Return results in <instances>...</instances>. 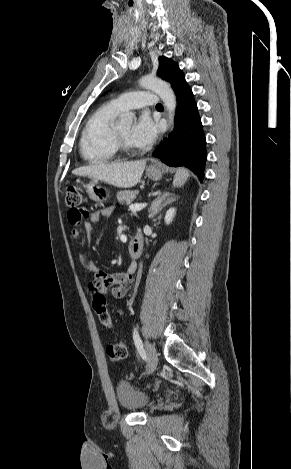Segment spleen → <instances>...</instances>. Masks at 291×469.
Instances as JSON below:
<instances>
[{
  "instance_id": "3e777b00",
  "label": "spleen",
  "mask_w": 291,
  "mask_h": 469,
  "mask_svg": "<svg viewBox=\"0 0 291 469\" xmlns=\"http://www.w3.org/2000/svg\"><path fill=\"white\" fill-rule=\"evenodd\" d=\"M189 177V171L185 168H179L174 178V186H182Z\"/></svg>"
}]
</instances>
